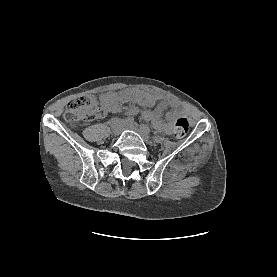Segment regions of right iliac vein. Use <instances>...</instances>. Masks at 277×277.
<instances>
[{"mask_svg": "<svg viewBox=\"0 0 277 277\" xmlns=\"http://www.w3.org/2000/svg\"><path fill=\"white\" fill-rule=\"evenodd\" d=\"M123 121L115 120L112 122V132L115 136L119 135L123 128Z\"/></svg>", "mask_w": 277, "mask_h": 277, "instance_id": "1", "label": "right iliac vein"}]
</instances>
